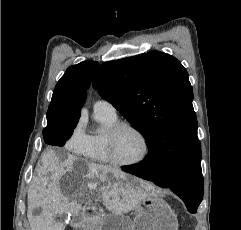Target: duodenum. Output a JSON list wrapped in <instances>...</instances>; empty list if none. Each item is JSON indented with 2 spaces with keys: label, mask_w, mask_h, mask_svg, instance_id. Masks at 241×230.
<instances>
[{
  "label": "duodenum",
  "mask_w": 241,
  "mask_h": 230,
  "mask_svg": "<svg viewBox=\"0 0 241 230\" xmlns=\"http://www.w3.org/2000/svg\"><path fill=\"white\" fill-rule=\"evenodd\" d=\"M84 216L83 215H75L71 221V226L73 228H77L83 222Z\"/></svg>",
  "instance_id": "duodenum-1"
}]
</instances>
